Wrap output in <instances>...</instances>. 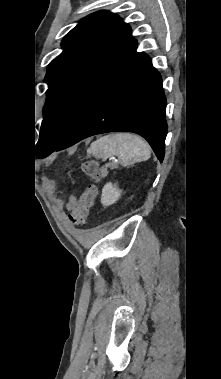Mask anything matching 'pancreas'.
<instances>
[{
    "instance_id": "pancreas-1",
    "label": "pancreas",
    "mask_w": 221,
    "mask_h": 379,
    "mask_svg": "<svg viewBox=\"0 0 221 379\" xmlns=\"http://www.w3.org/2000/svg\"><path fill=\"white\" fill-rule=\"evenodd\" d=\"M105 167L115 168L114 164H106Z\"/></svg>"
}]
</instances>
